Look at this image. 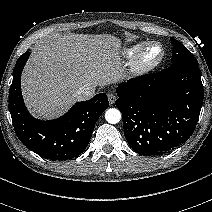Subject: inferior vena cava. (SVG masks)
<instances>
[{
    "label": "inferior vena cava",
    "mask_w": 212,
    "mask_h": 212,
    "mask_svg": "<svg viewBox=\"0 0 212 212\" xmlns=\"http://www.w3.org/2000/svg\"><path fill=\"white\" fill-rule=\"evenodd\" d=\"M95 94V87L93 86H82L75 91V97L80 100H88Z\"/></svg>",
    "instance_id": "obj_1"
}]
</instances>
